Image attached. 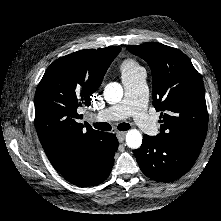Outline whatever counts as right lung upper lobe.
<instances>
[{
  "label": "right lung upper lobe",
  "instance_id": "obj_1",
  "mask_svg": "<svg viewBox=\"0 0 221 221\" xmlns=\"http://www.w3.org/2000/svg\"><path fill=\"white\" fill-rule=\"evenodd\" d=\"M121 48L80 50L54 61L35 93V127L54 168L75 158L92 155L102 132L79 123L77 108L89 106L104 74Z\"/></svg>",
  "mask_w": 221,
  "mask_h": 221
}]
</instances>
